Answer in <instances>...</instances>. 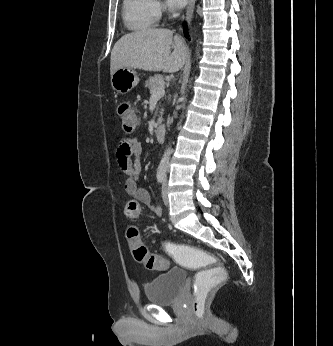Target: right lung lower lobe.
<instances>
[{
	"instance_id": "obj_1",
	"label": "right lung lower lobe",
	"mask_w": 333,
	"mask_h": 346,
	"mask_svg": "<svg viewBox=\"0 0 333 346\" xmlns=\"http://www.w3.org/2000/svg\"><path fill=\"white\" fill-rule=\"evenodd\" d=\"M184 33H185V36L187 37L188 34H187V25H186V23L184 24Z\"/></svg>"
}]
</instances>
